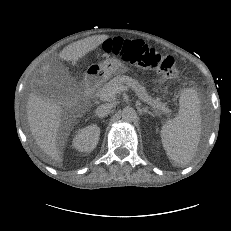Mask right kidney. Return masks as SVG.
<instances>
[{
  "instance_id": "right-kidney-1",
  "label": "right kidney",
  "mask_w": 231,
  "mask_h": 231,
  "mask_svg": "<svg viewBox=\"0 0 231 231\" xmlns=\"http://www.w3.org/2000/svg\"><path fill=\"white\" fill-rule=\"evenodd\" d=\"M100 128L96 124L80 129L73 139V147L79 152H91L98 144Z\"/></svg>"
}]
</instances>
